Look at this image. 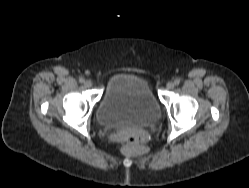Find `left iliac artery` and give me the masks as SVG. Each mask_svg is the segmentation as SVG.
<instances>
[{
  "label": "left iliac artery",
  "instance_id": "44dca946",
  "mask_svg": "<svg viewBox=\"0 0 249 188\" xmlns=\"http://www.w3.org/2000/svg\"><path fill=\"white\" fill-rule=\"evenodd\" d=\"M174 84H175L176 86H178V85L180 84V81H179L178 79H176V80L174 81Z\"/></svg>",
  "mask_w": 249,
  "mask_h": 188
}]
</instances>
